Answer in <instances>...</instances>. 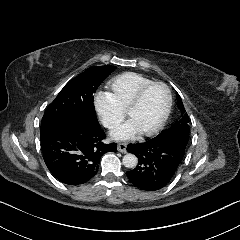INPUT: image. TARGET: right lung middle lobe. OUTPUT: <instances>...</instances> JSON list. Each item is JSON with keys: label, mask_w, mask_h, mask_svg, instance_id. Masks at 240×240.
<instances>
[{"label": "right lung middle lobe", "mask_w": 240, "mask_h": 240, "mask_svg": "<svg viewBox=\"0 0 240 240\" xmlns=\"http://www.w3.org/2000/svg\"><path fill=\"white\" fill-rule=\"evenodd\" d=\"M115 68V66L90 67L69 81L46 109L41 122V131L80 119L98 122L93 94Z\"/></svg>", "instance_id": "obj_1"}]
</instances>
